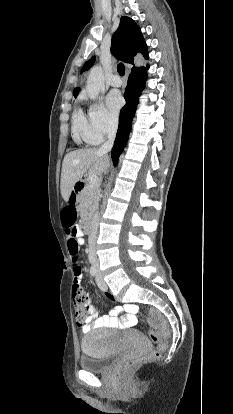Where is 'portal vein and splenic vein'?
<instances>
[{
  "label": "portal vein and splenic vein",
  "instance_id": "portal-vein-and-splenic-vein-1",
  "mask_svg": "<svg viewBox=\"0 0 233 414\" xmlns=\"http://www.w3.org/2000/svg\"><path fill=\"white\" fill-rule=\"evenodd\" d=\"M75 163L77 164L78 161H76ZM88 179H89L90 183H92V184H97V182H98V176L94 175V174H90Z\"/></svg>",
  "mask_w": 233,
  "mask_h": 414
}]
</instances>
